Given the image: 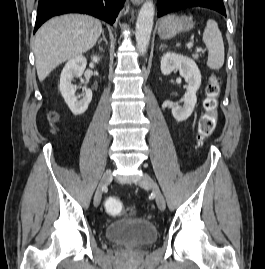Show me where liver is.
Instances as JSON below:
<instances>
[{"mask_svg": "<svg viewBox=\"0 0 265 269\" xmlns=\"http://www.w3.org/2000/svg\"><path fill=\"white\" fill-rule=\"evenodd\" d=\"M102 32L101 22L88 15L69 14L43 24L35 35L37 75L43 81L57 66L90 50Z\"/></svg>", "mask_w": 265, "mask_h": 269, "instance_id": "obj_1", "label": "liver"}]
</instances>
